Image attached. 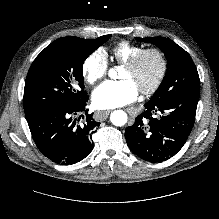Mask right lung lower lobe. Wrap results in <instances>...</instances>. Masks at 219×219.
<instances>
[{
	"label": "right lung lower lobe",
	"instance_id": "98d812e1",
	"mask_svg": "<svg viewBox=\"0 0 219 219\" xmlns=\"http://www.w3.org/2000/svg\"><path fill=\"white\" fill-rule=\"evenodd\" d=\"M88 97L77 105L52 104L26 114L32 137L47 158L59 164H74L94 148L91 135L100 125L85 111ZM85 112L84 121L78 115Z\"/></svg>",
	"mask_w": 219,
	"mask_h": 219
}]
</instances>
